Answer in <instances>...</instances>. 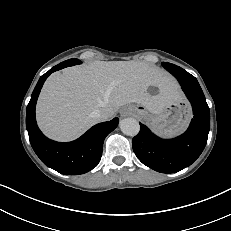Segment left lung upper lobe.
<instances>
[{
	"label": "left lung upper lobe",
	"instance_id": "obj_1",
	"mask_svg": "<svg viewBox=\"0 0 231 231\" xmlns=\"http://www.w3.org/2000/svg\"><path fill=\"white\" fill-rule=\"evenodd\" d=\"M162 65L164 66V68H176L178 66L171 64V63H162Z\"/></svg>",
	"mask_w": 231,
	"mask_h": 231
}]
</instances>
